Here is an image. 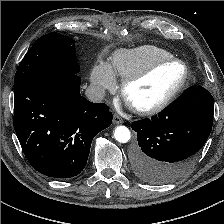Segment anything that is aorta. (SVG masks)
Masks as SVG:
<instances>
[{
    "label": "aorta",
    "mask_w": 224,
    "mask_h": 224,
    "mask_svg": "<svg viewBox=\"0 0 224 224\" xmlns=\"http://www.w3.org/2000/svg\"><path fill=\"white\" fill-rule=\"evenodd\" d=\"M114 138L121 143H126L131 138L130 130L126 126H118L114 131Z\"/></svg>",
    "instance_id": "obj_1"
}]
</instances>
